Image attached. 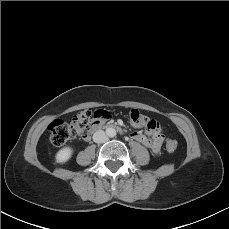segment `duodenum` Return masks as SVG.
I'll return each instance as SVG.
<instances>
[{
    "instance_id": "410a0bca",
    "label": "duodenum",
    "mask_w": 229,
    "mask_h": 229,
    "mask_svg": "<svg viewBox=\"0 0 229 229\" xmlns=\"http://www.w3.org/2000/svg\"><path fill=\"white\" fill-rule=\"evenodd\" d=\"M111 124L110 123H107L103 120H97V121H94L90 127V130H97V129H100V128H103V127H107V126H110ZM118 130H121L120 127H118Z\"/></svg>"
}]
</instances>
